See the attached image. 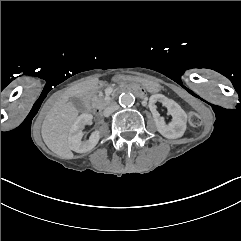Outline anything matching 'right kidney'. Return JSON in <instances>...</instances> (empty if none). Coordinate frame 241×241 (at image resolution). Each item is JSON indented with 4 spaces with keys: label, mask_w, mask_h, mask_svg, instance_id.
I'll list each match as a JSON object with an SVG mask.
<instances>
[{
    "label": "right kidney",
    "mask_w": 241,
    "mask_h": 241,
    "mask_svg": "<svg viewBox=\"0 0 241 241\" xmlns=\"http://www.w3.org/2000/svg\"><path fill=\"white\" fill-rule=\"evenodd\" d=\"M93 115L84 113L80 115L72 125L69 133V148L77 153H86L91 151L100 140L99 130L94 131L87 142H83V130L86 124H92Z\"/></svg>",
    "instance_id": "1"
}]
</instances>
